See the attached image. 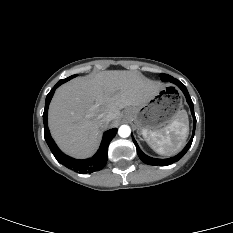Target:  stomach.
Returning <instances> with one entry per match:
<instances>
[{
	"label": "stomach",
	"mask_w": 233,
	"mask_h": 233,
	"mask_svg": "<svg viewBox=\"0 0 233 233\" xmlns=\"http://www.w3.org/2000/svg\"><path fill=\"white\" fill-rule=\"evenodd\" d=\"M184 109L182 94L173 87L158 89L145 103L128 107L124 117L143 133L169 125Z\"/></svg>",
	"instance_id": "stomach-1"
}]
</instances>
